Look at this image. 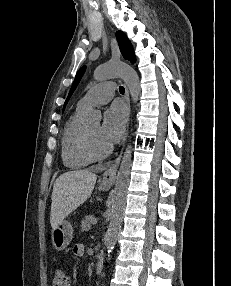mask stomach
Segmentation results:
<instances>
[{"label":"stomach","instance_id":"obj_1","mask_svg":"<svg viewBox=\"0 0 231 286\" xmlns=\"http://www.w3.org/2000/svg\"><path fill=\"white\" fill-rule=\"evenodd\" d=\"M110 186L100 185L99 189L107 191ZM73 237V228L70 222L64 220L56 228H52L51 242L53 247L58 250H64L71 242Z\"/></svg>","mask_w":231,"mask_h":286}]
</instances>
